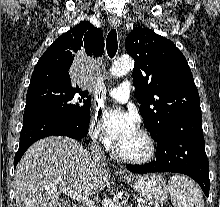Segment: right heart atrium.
Masks as SVG:
<instances>
[{
	"mask_svg": "<svg viewBox=\"0 0 220 207\" xmlns=\"http://www.w3.org/2000/svg\"><path fill=\"white\" fill-rule=\"evenodd\" d=\"M89 136L92 143L100 149L109 150L112 147V141L102 129L97 117H93L90 121Z\"/></svg>",
	"mask_w": 220,
	"mask_h": 207,
	"instance_id": "1",
	"label": "right heart atrium"
}]
</instances>
